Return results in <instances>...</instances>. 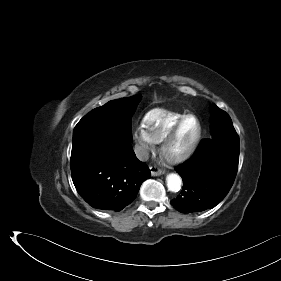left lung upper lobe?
<instances>
[{
    "mask_svg": "<svg viewBox=\"0 0 281 281\" xmlns=\"http://www.w3.org/2000/svg\"><path fill=\"white\" fill-rule=\"evenodd\" d=\"M211 139L217 142H226L238 139L229 115L218 108L215 104L211 106Z\"/></svg>",
    "mask_w": 281,
    "mask_h": 281,
    "instance_id": "left-lung-upper-lobe-1",
    "label": "left lung upper lobe"
}]
</instances>
